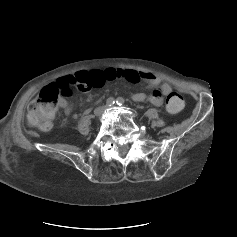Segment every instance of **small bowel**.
Returning a JSON list of instances; mask_svg holds the SVG:
<instances>
[{
	"label": "small bowel",
	"instance_id": "obj_1",
	"mask_svg": "<svg viewBox=\"0 0 237 237\" xmlns=\"http://www.w3.org/2000/svg\"><path fill=\"white\" fill-rule=\"evenodd\" d=\"M96 72L100 73L103 77V83L99 86H95L97 88H100L106 83L115 80H124L131 83H136L143 80L146 81L152 88H156L155 92L149 96H146L144 93H135L133 95V100L136 102H143L144 100L148 99L153 105L159 107L163 104L164 97L172 91L169 83L163 82L158 75L153 73L115 68H108L102 72ZM60 106L67 114L71 111V107L66 101L62 102Z\"/></svg>",
	"mask_w": 237,
	"mask_h": 237
}]
</instances>
